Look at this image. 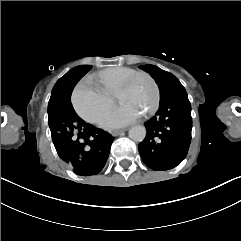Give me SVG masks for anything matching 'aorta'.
I'll use <instances>...</instances> for the list:
<instances>
[{
    "label": "aorta",
    "mask_w": 241,
    "mask_h": 241,
    "mask_svg": "<svg viewBox=\"0 0 241 241\" xmlns=\"http://www.w3.org/2000/svg\"><path fill=\"white\" fill-rule=\"evenodd\" d=\"M129 137L135 142H142L146 137V128L142 125L132 126L129 130Z\"/></svg>",
    "instance_id": "1"
}]
</instances>
